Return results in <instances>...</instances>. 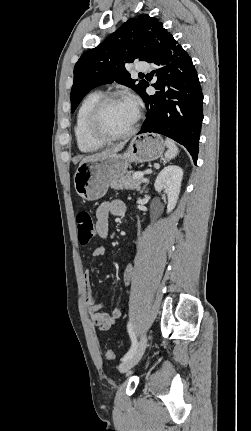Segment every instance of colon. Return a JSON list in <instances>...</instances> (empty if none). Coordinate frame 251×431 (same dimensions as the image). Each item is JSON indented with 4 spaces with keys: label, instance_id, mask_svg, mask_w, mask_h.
<instances>
[{
    "label": "colon",
    "instance_id": "5ec220e1",
    "mask_svg": "<svg viewBox=\"0 0 251 431\" xmlns=\"http://www.w3.org/2000/svg\"><path fill=\"white\" fill-rule=\"evenodd\" d=\"M76 224L79 243L82 245L88 244L93 239L96 231L95 223L90 212L86 210L78 212ZM106 358L108 360H114L116 356L112 350H108L106 352Z\"/></svg>",
    "mask_w": 251,
    "mask_h": 431
}]
</instances>
